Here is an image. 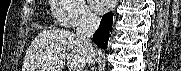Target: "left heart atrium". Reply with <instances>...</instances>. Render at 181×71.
<instances>
[{
  "instance_id": "left-heart-atrium-1",
  "label": "left heart atrium",
  "mask_w": 181,
  "mask_h": 71,
  "mask_svg": "<svg viewBox=\"0 0 181 71\" xmlns=\"http://www.w3.org/2000/svg\"><path fill=\"white\" fill-rule=\"evenodd\" d=\"M109 0H96L94 6L98 11H104L109 7Z\"/></svg>"
}]
</instances>
